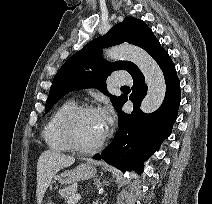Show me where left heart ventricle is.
Returning a JSON list of instances; mask_svg holds the SVG:
<instances>
[{
  "instance_id": "b2bd125f",
  "label": "left heart ventricle",
  "mask_w": 212,
  "mask_h": 204,
  "mask_svg": "<svg viewBox=\"0 0 212 204\" xmlns=\"http://www.w3.org/2000/svg\"><path fill=\"white\" fill-rule=\"evenodd\" d=\"M106 129L100 112L83 113L73 122L75 139L82 146L96 143L103 136Z\"/></svg>"
}]
</instances>
